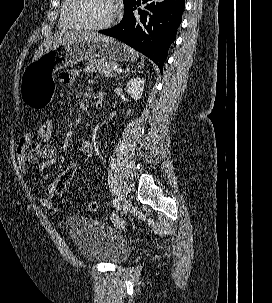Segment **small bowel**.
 <instances>
[{"mask_svg":"<svg viewBox=\"0 0 272 303\" xmlns=\"http://www.w3.org/2000/svg\"><path fill=\"white\" fill-rule=\"evenodd\" d=\"M73 79V73H65L61 76V81L66 84L71 83ZM80 150L87 157L94 155L93 144L88 139L82 140ZM16 156L18 165L23 171H26L28 164L32 162H38L37 169L39 171L45 170L56 164L59 158L54 147L36 141L30 133H26L20 138L16 148ZM55 195L54 184L50 183L46 194L39 199L41 205L46 209L54 210L53 199Z\"/></svg>","mask_w":272,"mask_h":303,"instance_id":"obj_1","label":"small bowel"}]
</instances>
